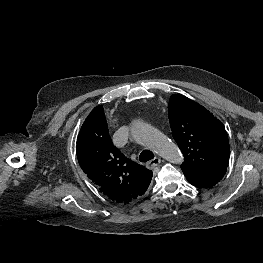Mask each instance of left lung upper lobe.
I'll list each match as a JSON object with an SVG mask.
<instances>
[{"label": "left lung upper lobe", "mask_w": 263, "mask_h": 263, "mask_svg": "<svg viewBox=\"0 0 263 263\" xmlns=\"http://www.w3.org/2000/svg\"><path fill=\"white\" fill-rule=\"evenodd\" d=\"M172 135L185 161L181 169L226 172L229 141L224 125L197 102L173 94L168 105Z\"/></svg>", "instance_id": "obj_1"}]
</instances>
